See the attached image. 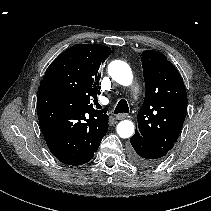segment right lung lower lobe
<instances>
[{
  "label": "right lung lower lobe",
  "instance_id": "right-lung-lower-lobe-1",
  "mask_svg": "<svg viewBox=\"0 0 211 211\" xmlns=\"http://www.w3.org/2000/svg\"><path fill=\"white\" fill-rule=\"evenodd\" d=\"M37 112L51 153L68 165L89 162L108 130L109 116H99L74 96L45 86L38 88Z\"/></svg>",
  "mask_w": 211,
  "mask_h": 211
}]
</instances>
